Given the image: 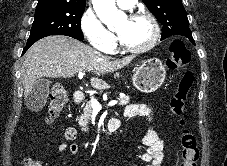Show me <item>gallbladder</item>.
I'll return each mask as SVG.
<instances>
[{
    "instance_id": "obj_1",
    "label": "gallbladder",
    "mask_w": 227,
    "mask_h": 166,
    "mask_svg": "<svg viewBox=\"0 0 227 166\" xmlns=\"http://www.w3.org/2000/svg\"><path fill=\"white\" fill-rule=\"evenodd\" d=\"M51 81L46 78H40L34 82L32 91L26 100V105L31 110L41 109L49 93Z\"/></svg>"
}]
</instances>
